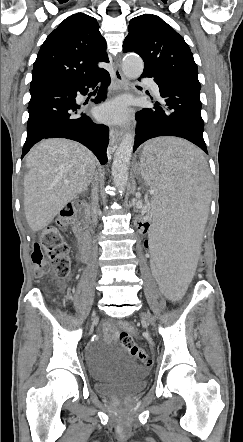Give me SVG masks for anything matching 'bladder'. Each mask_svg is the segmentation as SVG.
Wrapping results in <instances>:
<instances>
[{"instance_id": "31cf9c89", "label": "bladder", "mask_w": 243, "mask_h": 442, "mask_svg": "<svg viewBox=\"0 0 243 442\" xmlns=\"http://www.w3.org/2000/svg\"><path fill=\"white\" fill-rule=\"evenodd\" d=\"M88 371L96 392L106 397L128 398L146 387L147 370L129 358L94 357L88 363Z\"/></svg>"}]
</instances>
